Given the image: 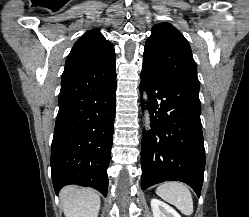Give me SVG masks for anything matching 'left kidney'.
Returning <instances> with one entry per match:
<instances>
[{
  "label": "left kidney",
  "instance_id": "1",
  "mask_svg": "<svg viewBox=\"0 0 249 217\" xmlns=\"http://www.w3.org/2000/svg\"><path fill=\"white\" fill-rule=\"evenodd\" d=\"M151 207L154 217H181L171 206L158 199L151 200Z\"/></svg>",
  "mask_w": 249,
  "mask_h": 217
}]
</instances>
